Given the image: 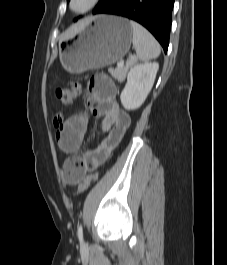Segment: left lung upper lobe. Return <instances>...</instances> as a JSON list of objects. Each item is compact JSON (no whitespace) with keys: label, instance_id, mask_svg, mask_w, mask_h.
I'll list each match as a JSON object with an SVG mask.
<instances>
[{"label":"left lung upper lobe","instance_id":"5c2ea615","mask_svg":"<svg viewBox=\"0 0 227 265\" xmlns=\"http://www.w3.org/2000/svg\"><path fill=\"white\" fill-rule=\"evenodd\" d=\"M68 2L70 1V0H67ZM108 0H100L99 1V3H98V5L96 6V8L95 9H97L98 7H100L101 5H103L105 2H107ZM94 9V10H95Z\"/></svg>","mask_w":227,"mask_h":265}]
</instances>
